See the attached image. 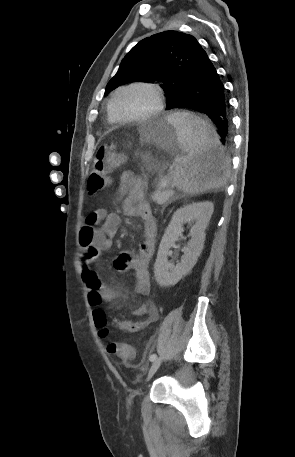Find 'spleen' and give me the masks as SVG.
<instances>
[{
    "mask_svg": "<svg viewBox=\"0 0 295 457\" xmlns=\"http://www.w3.org/2000/svg\"><path fill=\"white\" fill-rule=\"evenodd\" d=\"M185 155L176 162L174 185L188 194H199L225 184L228 163L215 129L193 113L169 115Z\"/></svg>",
    "mask_w": 295,
    "mask_h": 457,
    "instance_id": "obj_1",
    "label": "spleen"
}]
</instances>
